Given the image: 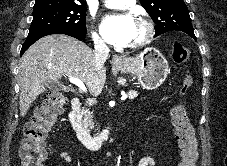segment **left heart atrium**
<instances>
[{
    "mask_svg": "<svg viewBox=\"0 0 227 166\" xmlns=\"http://www.w3.org/2000/svg\"><path fill=\"white\" fill-rule=\"evenodd\" d=\"M134 21L128 15L107 16L102 20L101 32L112 44L124 45L130 42Z\"/></svg>",
    "mask_w": 227,
    "mask_h": 166,
    "instance_id": "1",
    "label": "left heart atrium"
}]
</instances>
